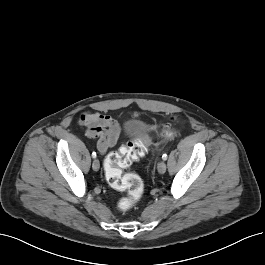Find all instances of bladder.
I'll return each instance as SVG.
<instances>
[{"label":"bladder","instance_id":"31cf9c89","mask_svg":"<svg viewBox=\"0 0 265 265\" xmlns=\"http://www.w3.org/2000/svg\"><path fill=\"white\" fill-rule=\"evenodd\" d=\"M147 132V125L142 120H130L124 126V135L129 138H141Z\"/></svg>","mask_w":265,"mask_h":265}]
</instances>
